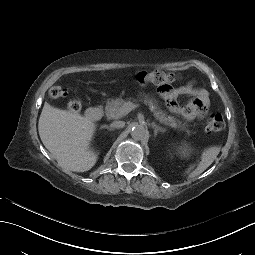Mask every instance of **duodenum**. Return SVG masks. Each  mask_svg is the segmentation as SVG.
<instances>
[{
    "label": "duodenum",
    "mask_w": 255,
    "mask_h": 255,
    "mask_svg": "<svg viewBox=\"0 0 255 255\" xmlns=\"http://www.w3.org/2000/svg\"><path fill=\"white\" fill-rule=\"evenodd\" d=\"M102 113H103V111L100 107H91V108L87 109L86 117L89 120L96 121L101 118Z\"/></svg>",
    "instance_id": "obj_1"
}]
</instances>
